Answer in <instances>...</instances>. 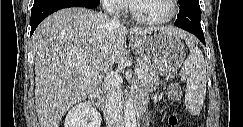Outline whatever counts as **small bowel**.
Returning a JSON list of instances; mask_svg holds the SVG:
<instances>
[{
  "instance_id": "1",
  "label": "small bowel",
  "mask_w": 243,
  "mask_h": 127,
  "mask_svg": "<svg viewBox=\"0 0 243 127\" xmlns=\"http://www.w3.org/2000/svg\"><path fill=\"white\" fill-rule=\"evenodd\" d=\"M141 95H144V90L142 91V94ZM145 96V95H144Z\"/></svg>"
}]
</instances>
